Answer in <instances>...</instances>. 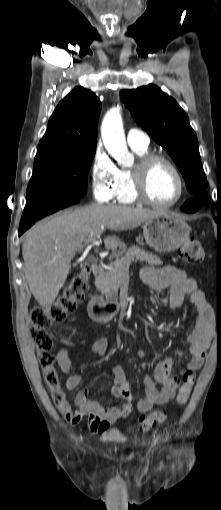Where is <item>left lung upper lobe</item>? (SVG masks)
Segmentation results:
<instances>
[{
    "instance_id": "1",
    "label": "left lung upper lobe",
    "mask_w": 221,
    "mask_h": 510,
    "mask_svg": "<svg viewBox=\"0 0 221 510\" xmlns=\"http://www.w3.org/2000/svg\"><path fill=\"white\" fill-rule=\"evenodd\" d=\"M120 95L137 124L172 157L187 189L194 194L192 200L202 206L207 198L208 182L201 164L197 136L187 114L156 85L122 90Z\"/></svg>"
}]
</instances>
